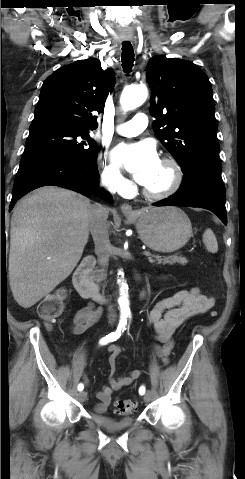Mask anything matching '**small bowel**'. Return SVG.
Instances as JSON below:
<instances>
[{
  "label": "small bowel",
  "instance_id": "c3829d8e",
  "mask_svg": "<svg viewBox=\"0 0 245 479\" xmlns=\"http://www.w3.org/2000/svg\"><path fill=\"white\" fill-rule=\"evenodd\" d=\"M213 303L212 296L201 292L198 288H192L180 290L161 299L153 306L148 312L147 321L155 331L156 351L163 362L167 363L168 356L173 348L172 336L174 332L193 316L208 311ZM100 314V310L93 305L81 308L73 318L71 332L76 335L83 333L98 321ZM120 351L118 345L111 344L108 346L111 374L108 384L102 386L97 392L98 402L93 407L96 414H103L107 410L114 391L132 384L141 376V371L134 369L125 376L114 377L116 358ZM80 379L85 385L89 384V380L83 372H80Z\"/></svg>",
  "mask_w": 245,
  "mask_h": 479
}]
</instances>
